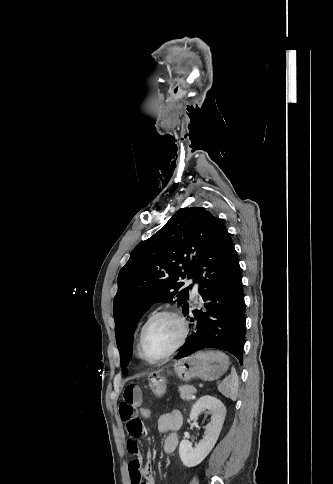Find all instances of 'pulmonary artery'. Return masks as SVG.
Returning <instances> with one entry per match:
<instances>
[{
  "mask_svg": "<svg viewBox=\"0 0 333 484\" xmlns=\"http://www.w3.org/2000/svg\"><path fill=\"white\" fill-rule=\"evenodd\" d=\"M192 283H194V288H193V293L194 295L198 294V282L196 280H191Z\"/></svg>",
  "mask_w": 333,
  "mask_h": 484,
  "instance_id": "pulmonary-artery-1",
  "label": "pulmonary artery"
}]
</instances>
